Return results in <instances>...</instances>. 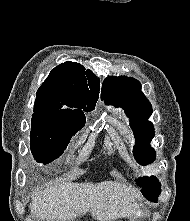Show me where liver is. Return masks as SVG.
I'll return each instance as SVG.
<instances>
[{
	"label": "liver",
	"instance_id": "liver-1",
	"mask_svg": "<svg viewBox=\"0 0 190 221\" xmlns=\"http://www.w3.org/2000/svg\"><path fill=\"white\" fill-rule=\"evenodd\" d=\"M138 197L136 190L116 181L63 182L38 191L29 208L43 221H72L87 212L98 221H113L131 216Z\"/></svg>",
	"mask_w": 190,
	"mask_h": 221
}]
</instances>
